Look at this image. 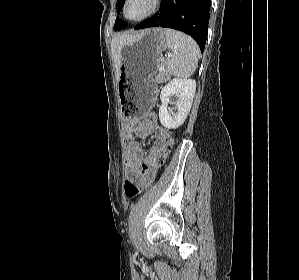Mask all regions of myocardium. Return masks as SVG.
<instances>
[{
    "mask_svg": "<svg viewBox=\"0 0 299 280\" xmlns=\"http://www.w3.org/2000/svg\"><path fill=\"white\" fill-rule=\"evenodd\" d=\"M130 2H131V0H125L124 5H123V15H124L125 19H127L128 21H131V22H135V23L145 21L146 19L153 16L157 12V10L161 4V0H149V2H150L149 8L143 15H141L140 17H137V18H130L127 15V7Z\"/></svg>",
    "mask_w": 299,
    "mask_h": 280,
    "instance_id": "f54148a6",
    "label": "myocardium"
}]
</instances>
